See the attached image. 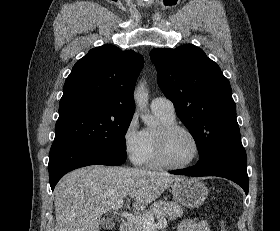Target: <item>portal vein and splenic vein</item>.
Here are the masks:
<instances>
[{
  "instance_id": "portal-vein-and-splenic-vein-1",
  "label": "portal vein and splenic vein",
  "mask_w": 280,
  "mask_h": 231,
  "mask_svg": "<svg viewBox=\"0 0 280 231\" xmlns=\"http://www.w3.org/2000/svg\"><path fill=\"white\" fill-rule=\"evenodd\" d=\"M123 203V199L122 201H119V205H123ZM119 215H121V217H125L128 221H139V223H143L145 231H154L156 227H165V225H167L166 217H161L158 223H155L154 219H144V217H140V215H133V213H128V211H121Z\"/></svg>"
}]
</instances>
